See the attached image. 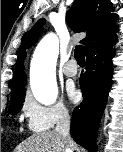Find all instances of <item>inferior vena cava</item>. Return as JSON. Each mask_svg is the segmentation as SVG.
<instances>
[{"label":"inferior vena cava","instance_id":"602c4592","mask_svg":"<svg viewBox=\"0 0 123 152\" xmlns=\"http://www.w3.org/2000/svg\"><path fill=\"white\" fill-rule=\"evenodd\" d=\"M55 132L63 138L66 145V152H72L70 147V116L68 111H60L56 123Z\"/></svg>","mask_w":123,"mask_h":152}]
</instances>
